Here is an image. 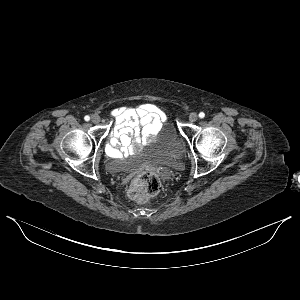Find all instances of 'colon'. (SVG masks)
<instances>
[{"label":"colon","mask_w":300,"mask_h":300,"mask_svg":"<svg viewBox=\"0 0 300 300\" xmlns=\"http://www.w3.org/2000/svg\"><path fill=\"white\" fill-rule=\"evenodd\" d=\"M162 184L160 178L150 171H143L131 182L128 196L137 203H145L156 197Z\"/></svg>","instance_id":"1"}]
</instances>
